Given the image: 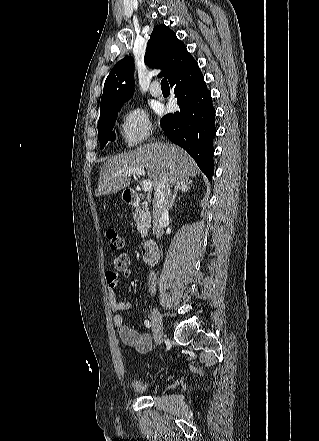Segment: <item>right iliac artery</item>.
<instances>
[{"label": "right iliac artery", "mask_w": 319, "mask_h": 441, "mask_svg": "<svg viewBox=\"0 0 319 441\" xmlns=\"http://www.w3.org/2000/svg\"><path fill=\"white\" fill-rule=\"evenodd\" d=\"M144 324L147 328H150V326H151L149 320H145Z\"/></svg>", "instance_id": "right-iliac-artery-1"}]
</instances>
